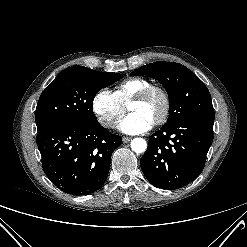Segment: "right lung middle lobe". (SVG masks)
I'll list each match as a JSON object with an SVG mask.
<instances>
[{"mask_svg":"<svg viewBox=\"0 0 247 247\" xmlns=\"http://www.w3.org/2000/svg\"><path fill=\"white\" fill-rule=\"evenodd\" d=\"M122 77L83 66L64 69L42 92L35 113L37 129L57 122H97L92 103L104 87Z\"/></svg>","mask_w":247,"mask_h":247,"instance_id":"1","label":"right lung middle lobe"}]
</instances>
